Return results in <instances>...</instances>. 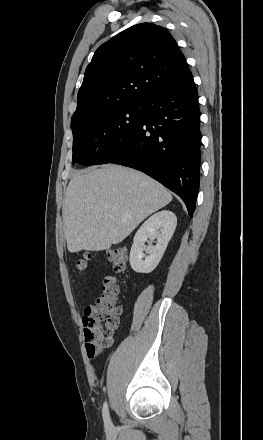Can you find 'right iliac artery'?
Instances as JSON below:
<instances>
[{"label":"right iliac artery","instance_id":"82829eb1","mask_svg":"<svg viewBox=\"0 0 263 440\" xmlns=\"http://www.w3.org/2000/svg\"><path fill=\"white\" fill-rule=\"evenodd\" d=\"M102 414H103V419L105 424L108 426L111 424V420H110V416H109V411H108V405L107 402H105L103 404V410H102Z\"/></svg>","mask_w":263,"mask_h":440}]
</instances>
